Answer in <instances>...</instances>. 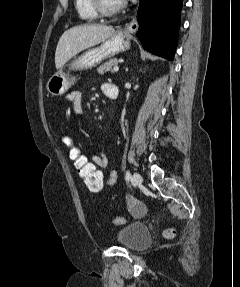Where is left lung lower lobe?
Listing matches in <instances>:
<instances>
[{"label": "left lung lower lobe", "instance_id": "left-lung-lower-lobe-1", "mask_svg": "<svg viewBox=\"0 0 240 287\" xmlns=\"http://www.w3.org/2000/svg\"><path fill=\"white\" fill-rule=\"evenodd\" d=\"M183 0H140L136 36L143 47L172 60L177 47Z\"/></svg>", "mask_w": 240, "mask_h": 287}]
</instances>
